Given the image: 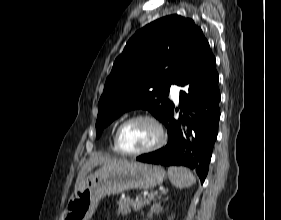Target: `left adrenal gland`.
Here are the masks:
<instances>
[{
    "mask_svg": "<svg viewBox=\"0 0 281 220\" xmlns=\"http://www.w3.org/2000/svg\"><path fill=\"white\" fill-rule=\"evenodd\" d=\"M164 193H166V191H165ZM165 200H167V199H165ZM161 210H162L161 201H159L158 203H155V204L151 207V209H150V211L148 212L147 216L150 218V217H152L153 213H159Z\"/></svg>",
    "mask_w": 281,
    "mask_h": 220,
    "instance_id": "1",
    "label": "left adrenal gland"
}]
</instances>
